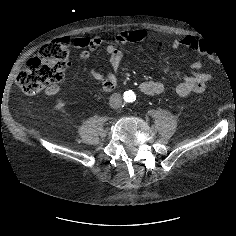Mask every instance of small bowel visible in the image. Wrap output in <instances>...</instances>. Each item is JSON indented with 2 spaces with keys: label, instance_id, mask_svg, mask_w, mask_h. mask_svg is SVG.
Wrapping results in <instances>:
<instances>
[{
  "label": "small bowel",
  "instance_id": "c3829d8e",
  "mask_svg": "<svg viewBox=\"0 0 236 236\" xmlns=\"http://www.w3.org/2000/svg\"><path fill=\"white\" fill-rule=\"evenodd\" d=\"M147 37V33L143 30H125L120 32L116 37L115 43L109 44L105 48L106 54L109 58V63L112 66L114 73H102L91 66L89 68L90 76L102 85L104 91H112L117 85V74L120 71L121 61L123 58L121 47L129 43L144 41ZM103 43L104 39L101 37H77L74 40V45L76 47L84 48L80 53V58L87 62L92 61V52L100 48ZM194 44H199L201 46L202 40H199L193 35H187L172 41L174 47H192ZM202 66L203 63L201 61H195L191 64V72L189 74L179 70L174 71V75L180 79V82L175 87L178 96L187 98L205 91L207 83L212 80V75L210 73L199 72ZM138 88L143 94L154 95L162 93L165 89V85L160 81H143L139 84ZM58 91L59 86L57 84L50 85L46 89V94L48 96H53L57 94Z\"/></svg>",
  "mask_w": 236,
  "mask_h": 236
}]
</instances>
